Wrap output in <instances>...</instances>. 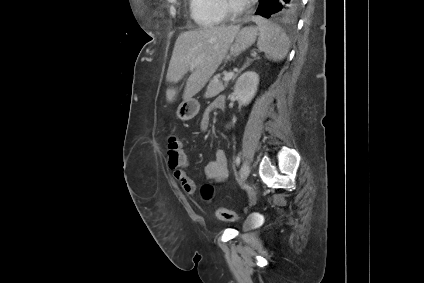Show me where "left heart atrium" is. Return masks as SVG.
Returning <instances> with one entry per match:
<instances>
[{"mask_svg":"<svg viewBox=\"0 0 424 283\" xmlns=\"http://www.w3.org/2000/svg\"><path fill=\"white\" fill-rule=\"evenodd\" d=\"M237 3H239V4H242V5H244V4H248L250 1H252V0H235Z\"/></svg>","mask_w":424,"mask_h":283,"instance_id":"obj_1","label":"left heart atrium"}]
</instances>
